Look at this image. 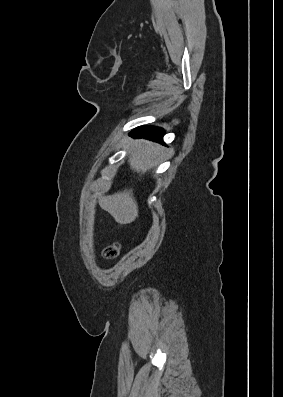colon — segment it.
<instances>
[{
  "instance_id": "obj_1",
  "label": "colon",
  "mask_w": 283,
  "mask_h": 397,
  "mask_svg": "<svg viewBox=\"0 0 283 397\" xmlns=\"http://www.w3.org/2000/svg\"><path fill=\"white\" fill-rule=\"evenodd\" d=\"M118 254H119L118 244L109 245L103 251V256L106 259H114L118 256Z\"/></svg>"
}]
</instances>
